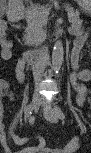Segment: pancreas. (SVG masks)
Here are the masks:
<instances>
[{
  "label": "pancreas",
  "mask_w": 91,
  "mask_h": 153,
  "mask_svg": "<svg viewBox=\"0 0 91 153\" xmlns=\"http://www.w3.org/2000/svg\"><path fill=\"white\" fill-rule=\"evenodd\" d=\"M50 8L46 6H36L27 15V27L25 29L24 40L27 45H34L40 42L41 36L44 34L43 26L47 18ZM68 18L72 23L73 30L81 28L82 21L78 14L74 13L72 9L67 8Z\"/></svg>",
  "instance_id": "pancreas-1"
}]
</instances>
